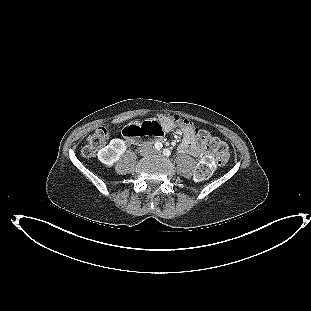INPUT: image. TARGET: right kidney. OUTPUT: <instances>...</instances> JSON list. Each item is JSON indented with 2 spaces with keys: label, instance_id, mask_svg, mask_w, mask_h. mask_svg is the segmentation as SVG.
I'll return each mask as SVG.
<instances>
[{
  "label": "right kidney",
  "instance_id": "ca27d5eb",
  "mask_svg": "<svg viewBox=\"0 0 311 311\" xmlns=\"http://www.w3.org/2000/svg\"><path fill=\"white\" fill-rule=\"evenodd\" d=\"M127 147L125 141L122 139H113L109 145L100 149L97 153L98 159L107 167L113 166V164L119 160L121 154L126 151Z\"/></svg>",
  "mask_w": 311,
  "mask_h": 311
}]
</instances>
